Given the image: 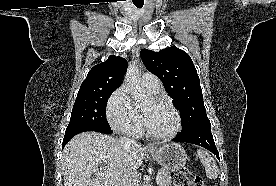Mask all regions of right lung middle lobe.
I'll return each mask as SVG.
<instances>
[{"instance_id": "dd1d6c3e", "label": "right lung middle lobe", "mask_w": 276, "mask_h": 186, "mask_svg": "<svg viewBox=\"0 0 276 186\" xmlns=\"http://www.w3.org/2000/svg\"><path fill=\"white\" fill-rule=\"evenodd\" d=\"M115 89L80 90L74 103L66 131L78 127L110 128L106 119V103Z\"/></svg>"}]
</instances>
